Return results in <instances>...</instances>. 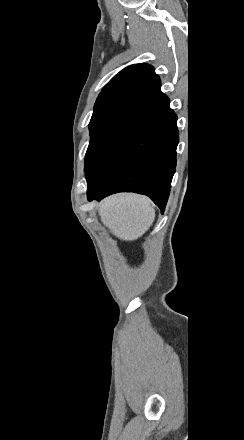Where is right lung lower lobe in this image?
I'll list each match as a JSON object with an SVG mask.
<instances>
[{"label": "right lung lower lobe", "instance_id": "right-lung-lower-lobe-1", "mask_svg": "<svg viewBox=\"0 0 244 440\" xmlns=\"http://www.w3.org/2000/svg\"><path fill=\"white\" fill-rule=\"evenodd\" d=\"M176 120L160 88L140 99L95 154L86 172L88 200L136 192L149 196L163 212L176 167Z\"/></svg>", "mask_w": 244, "mask_h": 440}]
</instances>
